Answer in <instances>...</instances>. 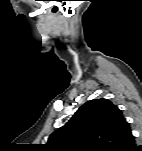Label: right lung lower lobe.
<instances>
[{
	"label": "right lung lower lobe",
	"instance_id": "right-lung-lower-lobe-1",
	"mask_svg": "<svg viewBox=\"0 0 142 151\" xmlns=\"http://www.w3.org/2000/svg\"><path fill=\"white\" fill-rule=\"evenodd\" d=\"M134 150H141L142 151V147H137L134 145V142L124 151H134Z\"/></svg>",
	"mask_w": 142,
	"mask_h": 151
}]
</instances>
